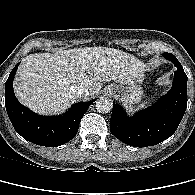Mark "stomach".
Returning a JSON list of instances; mask_svg holds the SVG:
<instances>
[{
	"mask_svg": "<svg viewBox=\"0 0 195 195\" xmlns=\"http://www.w3.org/2000/svg\"><path fill=\"white\" fill-rule=\"evenodd\" d=\"M144 75L137 77L130 83L111 84L107 87L108 94L120 99L128 105H135L142 101L144 91L141 87Z\"/></svg>",
	"mask_w": 195,
	"mask_h": 195,
	"instance_id": "0dacf381",
	"label": "stomach"
}]
</instances>
